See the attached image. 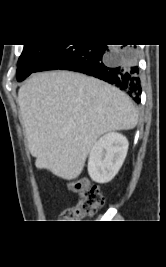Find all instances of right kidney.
Masks as SVG:
<instances>
[{"label": "right kidney", "mask_w": 166, "mask_h": 267, "mask_svg": "<svg viewBox=\"0 0 166 267\" xmlns=\"http://www.w3.org/2000/svg\"><path fill=\"white\" fill-rule=\"evenodd\" d=\"M128 140L119 133L102 136L92 147L88 160V173L99 183L109 182L121 168L128 151Z\"/></svg>", "instance_id": "ca27d5eb"}]
</instances>
